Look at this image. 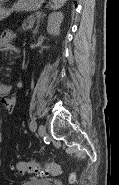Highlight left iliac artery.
Instances as JSON below:
<instances>
[{
  "mask_svg": "<svg viewBox=\"0 0 119 185\" xmlns=\"http://www.w3.org/2000/svg\"><path fill=\"white\" fill-rule=\"evenodd\" d=\"M29 128H30V130L33 131V132L36 130V128H37V123H36L35 119H32V120H31L30 125H29Z\"/></svg>",
  "mask_w": 119,
  "mask_h": 185,
  "instance_id": "obj_1",
  "label": "left iliac artery"
}]
</instances>
